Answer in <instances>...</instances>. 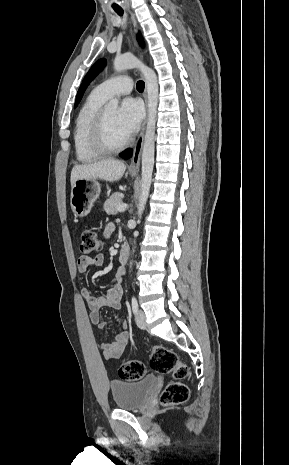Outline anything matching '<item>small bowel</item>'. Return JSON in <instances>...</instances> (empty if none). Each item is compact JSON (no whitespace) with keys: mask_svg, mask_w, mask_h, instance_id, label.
Here are the masks:
<instances>
[{"mask_svg":"<svg viewBox=\"0 0 289 465\" xmlns=\"http://www.w3.org/2000/svg\"><path fill=\"white\" fill-rule=\"evenodd\" d=\"M113 227L110 225L105 231V235L109 236ZM105 258L103 254H98L94 257L82 255L77 261V271L79 274L84 275L92 267H100L104 264ZM123 268H119L113 279L111 280L110 287L105 294L95 296L88 288L82 289V296L86 300L90 309L89 319L94 325H97L99 330H106L110 324L108 321H100L99 310L103 307H111L116 310L122 308L123 296ZM127 322L123 321L121 330L115 335L112 342H103L100 344V350L106 360L112 361L118 359L126 346L129 339V332L127 331Z\"/></svg>","mask_w":289,"mask_h":465,"instance_id":"1","label":"small bowel"}]
</instances>
